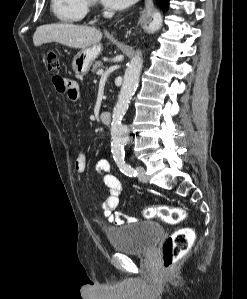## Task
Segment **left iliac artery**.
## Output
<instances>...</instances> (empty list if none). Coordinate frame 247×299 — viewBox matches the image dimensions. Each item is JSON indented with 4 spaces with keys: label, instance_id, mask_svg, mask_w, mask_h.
I'll return each mask as SVG.
<instances>
[{
    "label": "left iliac artery",
    "instance_id": "44dca946",
    "mask_svg": "<svg viewBox=\"0 0 247 299\" xmlns=\"http://www.w3.org/2000/svg\"><path fill=\"white\" fill-rule=\"evenodd\" d=\"M114 160L119 167L120 171L125 175L133 177L137 175V171L134 170L128 163L125 162L124 155H118L114 157Z\"/></svg>",
    "mask_w": 247,
    "mask_h": 299
}]
</instances>
